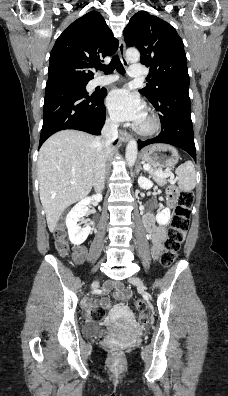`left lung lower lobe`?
Returning a JSON list of instances; mask_svg holds the SVG:
<instances>
[{
    "label": "left lung lower lobe",
    "mask_w": 228,
    "mask_h": 396,
    "mask_svg": "<svg viewBox=\"0 0 228 396\" xmlns=\"http://www.w3.org/2000/svg\"><path fill=\"white\" fill-rule=\"evenodd\" d=\"M181 101L177 104V101ZM162 122L161 133L146 141L138 140V149L153 143H167L179 147L196 160V148L191 120V105L188 90L171 89L152 103Z\"/></svg>",
    "instance_id": "0a47b994"
}]
</instances>
